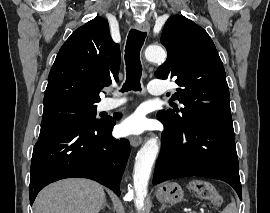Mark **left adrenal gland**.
I'll return each mask as SVG.
<instances>
[{"mask_svg":"<svg viewBox=\"0 0 270 213\" xmlns=\"http://www.w3.org/2000/svg\"><path fill=\"white\" fill-rule=\"evenodd\" d=\"M166 208V205L165 204H162L161 208H160V211L164 210Z\"/></svg>","mask_w":270,"mask_h":213,"instance_id":"left-adrenal-gland-1","label":"left adrenal gland"}]
</instances>
